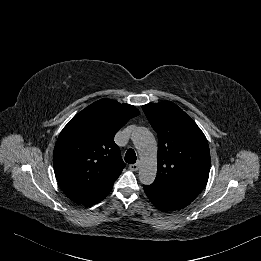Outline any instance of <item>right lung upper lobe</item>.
I'll return each mask as SVG.
<instances>
[{
    "instance_id": "obj_1",
    "label": "right lung upper lobe",
    "mask_w": 261,
    "mask_h": 261,
    "mask_svg": "<svg viewBox=\"0 0 261 261\" xmlns=\"http://www.w3.org/2000/svg\"><path fill=\"white\" fill-rule=\"evenodd\" d=\"M138 115L132 105L101 99L76 114L61 131L53 153L54 171L73 202L88 207L110 193L125 167L114 135Z\"/></svg>"
}]
</instances>
